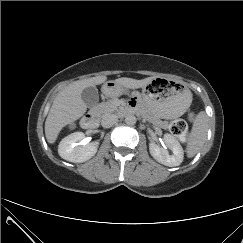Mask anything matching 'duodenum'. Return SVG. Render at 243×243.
Listing matches in <instances>:
<instances>
[{"mask_svg": "<svg viewBox=\"0 0 243 243\" xmlns=\"http://www.w3.org/2000/svg\"><path fill=\"white\" fill-rule=\"evenodd\" d=\"M127 110H123L121 114H125ZM98 124V119L95 113H87L82 119V126L85 129H94Z\"/></svg>", "mask_w": 243, "mask_h": 243, "instance_id": "1", "label": "duodenum"}]
</instances>
